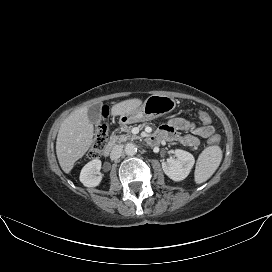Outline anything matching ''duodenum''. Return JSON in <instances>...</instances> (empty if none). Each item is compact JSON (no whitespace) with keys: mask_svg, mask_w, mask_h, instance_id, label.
<instances>
[{"mask_svg":"<svg viewBox=\"0 0 272 272\" xmlns=\"http://www.w3.org/2000/svg\"><path fill=\"white\" fill-rule=\"evenodd\" d=\"M113 146H114V141L109 142V144L105 147L103 154L105 156H108L110 154L111 150L113 149Z\"/></svg>","mask_w":272,"mask_h":272,"instance_id":"duodenum-1","label":"duodenum"}]
</instances>
